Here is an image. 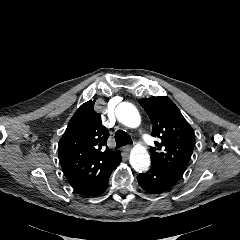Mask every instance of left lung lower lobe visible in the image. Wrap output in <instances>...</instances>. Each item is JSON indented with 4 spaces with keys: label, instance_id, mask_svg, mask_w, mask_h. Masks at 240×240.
<instances>
[{
    "label": "left lung lower lobe",
    "instance_id": "obj_1",
    "mask_svg": "<svg viewBox=\"0 0 240 240\" xmlns=\"http://www.w3.org/2000/svg\"><path fill=\"white\" fill-rule=\"evenodd\" d=\"M139 185L150 194H161L171 190L178 182L163 168L152 165L151 169L137 176Z\"/></svg>",
    "mask_w": 240,
    "mask_h": 240
}]
</instances>
